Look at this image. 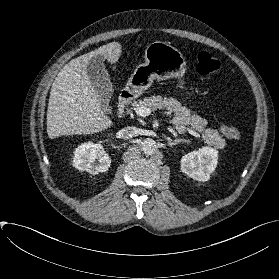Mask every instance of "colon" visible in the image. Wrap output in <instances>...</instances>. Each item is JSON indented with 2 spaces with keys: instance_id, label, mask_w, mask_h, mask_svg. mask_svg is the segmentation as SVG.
<instances>
[{
  "instance_id": "1",
  "label": "colon",
  "mask_w": 279,
  "mask_h": 279,
  "mask_svg": "<svg viewBox=\"0 0 279 279\" xmlns=\"http://www.w3.org/2000/svg\"><path fill=\"white\" fill-rule=\"evenodd\" d=\"M219 61L206 51H200L196 54L195 70L199 75L205 76L216 72L219 69ZM222 134L232 140L240 139L239 130L226 123L220 126Z\"/></svg>"
}]
</instances>
